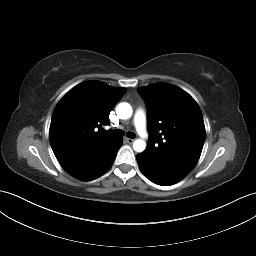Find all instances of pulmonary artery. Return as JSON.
Returning <instances> with one entry per match:
<instances>
[{
    "label": "pulmonary artery",
    "mask_w": 256,
    "mask_h": 256,
    "mask_svg": "<svg viewBox=\"0 0 256 256\" xmlns=\"http://www.w3.org/2000/svg\"><path fill=\"white\" fill-rule=\"evenodd\" d=\"M133 124L142 138L147 139L149 134L146 130V114L142 109H137L134 117Z\"/></svg>",
    "instance_id": "obj_1"
}]
</instances>
